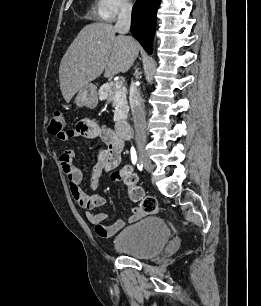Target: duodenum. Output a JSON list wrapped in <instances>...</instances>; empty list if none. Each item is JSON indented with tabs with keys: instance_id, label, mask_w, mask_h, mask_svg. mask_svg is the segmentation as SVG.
<instances>
[{
	"instance_id": "1",
	"label": "duodenum",
	"mask_w": 261,
	"mask_h": 306,
	"mask_svg": "<svg viewBox=\"0 0 261 306\" xmlns=\"http://www.w3.org/2000/svg\"><path fill=\"white\" fill-rule=\"evenodd\" d=\"M116 131L117 134L122 138V139H129L132 135V127L128 121L121 120L116 123Z\"/></svg>"
}]
</instances>
